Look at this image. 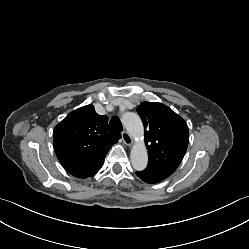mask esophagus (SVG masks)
Here are the masks:
<instances>
[{"label": "esophagus", "mask_w": 249, "mask_h": 249, "mask_svg": "<svg viewBox=\"0 0 249 249\" xmlns=\"http://www.w3.org/2000/svg\"><path fill=\"white\" fill-rule=\"evenodd\" d=\"M121 136H122V140H123L125 145L131 146L133 144V138L130 136V134L128 132L123 131L121 133Z\"/></svg>", "instance_id": "34e87169"}]
</instances>
